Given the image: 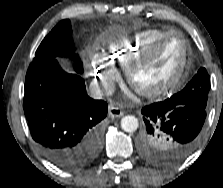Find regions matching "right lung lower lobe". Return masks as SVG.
I'll return each instance as SVG.
<instances>
[{
    "mask_svg": "<svg viewBox=\"0 0 223 188\" xmlns=\"http://www.w3.org/2000/svg\"><path fill=\"white\" fill-rule=\"evenodd\" d=\"M24 112L39 150L57 167L75 171L98 154L108 105L90 98L81 76L64 72L55 58L30 64Z\"/></svg>",
    "mask_w": 223,
    "mask_h": 188,
    "instance_id": "98d812e1",
    "label": "right lung lower lobe"
}]
</instances>
